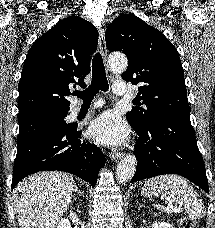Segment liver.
<instances>
[{
    "label": "liver",
    "instance_id": "obj_1",
    "mask_svg": "<svg viewBox=\"0 0 215 228\" xmlns=\"http://www.w3.org/2000/svg\"><path fill=\"white\" fill-rule=\"evenodd\" d=\"M75 192L66 172H38L14 188L13 206L19 228H55Z\"/></svg>",
    "mask_w": 215,
    "mask_h": 228
}]
</instances>
